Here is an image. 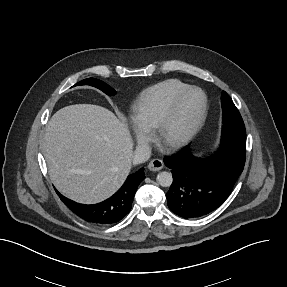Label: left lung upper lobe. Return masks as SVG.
I'll use <instances>...</instances> for the list:
<instances>
[{"mask_svg": "<svg viewBox=\"0 0 287 287\" xmlns=\"http://www.w3.org/2000/svg\"><path fill=\"white\" fill-rule=\"evenodd\" d=\"M222 103V133L229 131L245 132V125L242 117L234 105L232 99L226 92L221 95Z\"/></svg>", "mask_w": 287, "mask_h": 287, "instance_id": "obj_1", "label": "left lung upper lobe"}]
</instances>
